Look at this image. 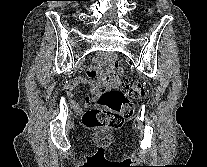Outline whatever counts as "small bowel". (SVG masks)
<instances>
[{
    "label": "small bowel",
    "instance_id": "c3829d8e",
    "mask_svg": "<svg viewBox=\"0 0 207 167\" xmlns=\"http://www.w3.org/2000/svg\"><path fill=\"white\" fill-rule=\"evenodd\" d=\"M82 83H87L90 86L92 94H96L103 86V83L100 80H95L93 78H85L82 76L76 77L73 80L69 81L66 84V94L70 103L77 111H82L84 108L89 107L94 101V96H89L85 99V103L83 106H81L78 103L74 95V89L78 84H82Z\"/></svg>",
    "mask_w": 207,
    "mask_h": 167
}]
</instances>
